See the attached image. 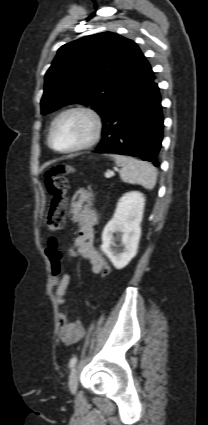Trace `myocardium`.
I'll return each instance as SVG.
<instances>
[{
    "label": "myocardium",
    "mask_w": 208,
    "mask_h": 425,
    "mask_svg": "<svg viewBox=\"0 0 208 425\" xmlns=\"http://www.w3.org/2000/svg\"><path fill=\"white\" fill-rule=\"evenodd\" d=\"M75 113L83 114L91 120L92 132L90 137L84 143L77 145L75 147H71L67 149H59L55 147L53 144V134L57 124L67 115L75 114ZM102 132H103V121L101 116L98 114V112H96L95 110L87 106H82V105L73 106L59 113L58 116L52 122L50 130H49V134H48V144L53 150L59 153H76V152L89 149L93 147L94 145H96L102 136Z\"/></svg>",
    "instance_id": "obj_1"
}]
</instances>
